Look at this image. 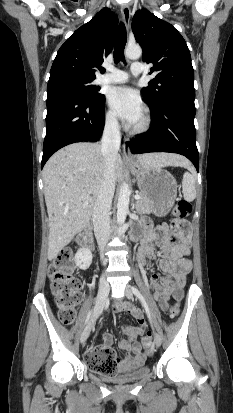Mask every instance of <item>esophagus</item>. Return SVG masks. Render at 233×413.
Masks as SVG:
<instances>
[{"instance_id":"34e87169","label":"esophagus","mask_w":233,"mask_h":413,"mask_svg":"<svg viewBox=\"0 0 233 413\" xmlns=\"http://www.w3.org/2000/svg\"><path fill=\"white\" fill-rule=\"evenodd\" d=\"M121 15H122V20L123 23L126 27V29L128 30L129 28V24H130V17H131V10L128 4H124L121 7ZM123 158L126 161H132L133 157L130 151V147L128 145V139L125 138L124 140V144H123Z\"/></svg>"}]
</instances>
